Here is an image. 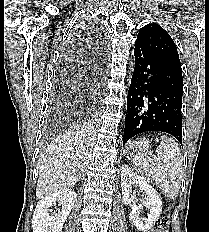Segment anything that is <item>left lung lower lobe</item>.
<instances>
[{"label": "left lung lower lobe", "mask_w": 209, "mask_h": 232, "mask_svg": "<svg viewBox=\"0 0 209 232\" xmlns=\"http://www.w3.org/2000/svg\"><path fill=\"white\" fill-rule=\"evenodd\" d=\"M135 68L127 96L123 146L149 131L174 136L182 144L181 66L171 64L135 43Z\"/></svg>", "instance_id": "obj_1"}]
</instances>
